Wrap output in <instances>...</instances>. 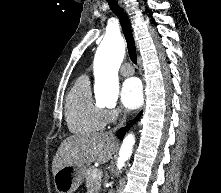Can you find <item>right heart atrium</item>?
<instances>
[{"label": "right heart atrium", "instance_id": "1", "mask_svg": "<svg viewBox=\"0 0 221 193\" xmlns=\"http://www.w3.org/2000/svg\"><path fill=\"white\" fill-rule=\"evenodd\" d=\"M122 115V111L117 108H110L106 110V123L116 122Z\"/></svg>", "mask_w": 221, "mask_h": 193}]
</instances>
